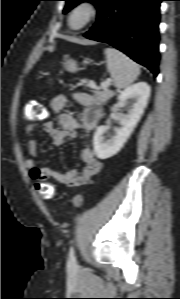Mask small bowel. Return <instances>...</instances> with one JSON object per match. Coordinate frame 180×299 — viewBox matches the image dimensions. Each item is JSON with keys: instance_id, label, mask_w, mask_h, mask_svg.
Segmentation results:
<instances>
[{"instance_id": "c3829d8e", "label": "small bowel", "mask_w": 180, "mask_h": 299, "mask_svg": "<svg viewBox=\"0 0 180 299\" xmlns=\"http://www.w3.org/2000/svg\"><path fill=\"white\" fill-rule=\"evenodd\" d=\"M74 97L86 107L80 121L65 112L66 96L57 95L51 100L50 106L59 126L57 127L54 121L48 120L42 124V128L50 135L54 146H62L75 139L79 129L93 131L99 123L101 117L99 103L91 95L85 93H76ZM35 127L36 123L30 122L26 130L31 134ZM28 153L33 157L39 153L38 142L35 138H31L28 142ZM80 157L84 163L81 171L70 169L66 172H59L51 168L39 167L33 160H27L26 167L34 180L54 179L67 187H80L87 184L102 168V162L96 157L92 147H84Z\"/></svg>"}]
</instances>
